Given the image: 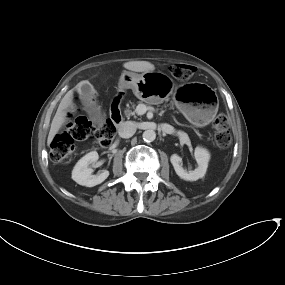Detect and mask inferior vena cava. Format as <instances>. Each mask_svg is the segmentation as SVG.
<instances>
[{
	"mask_svg": "<svg viewBox=\"0 0 285 285\" xmlns=\"http://www.w3.org/2000/svg\"><path fill=\"white\" fill-rule=\"evenodd\" d=\"M136 132V126L133 122L126 121L118 127V134L122 138L132 137Z\"/></svg>",
	"mask_w": 285,
	"mask_h": 285,
	"instance_id": "1",
	"label": "inferior vena cava"
}]
</instances>
